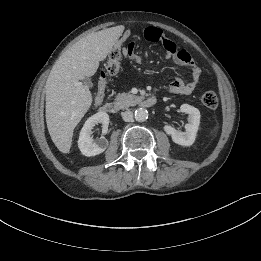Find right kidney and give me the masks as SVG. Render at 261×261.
I'll return each instance as SVG.
<instances>
[{
  "mask_svg": "<svg viewBox=\"0 0 261 261\" xmlns=\"http://www.w3.org/2000/svg\"><path fill=\"white\" fill-rule=\"evenodd\" d=\"M98 123L102 124V133L106 134L109 125V115L106 112H98L89 117L80 131L78 147L85 156L90 157L98 155L104 152L108 146V140L105 137H101L95 143L92 141L91 131Z\"/></svg>",
  "mask_w": 261,
  "mask_h": 261,
  "instance_id": "obj_1",
  "label": "right kidney"
}]
</instances>
